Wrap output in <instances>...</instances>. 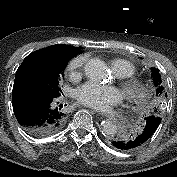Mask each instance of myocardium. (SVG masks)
Wrapping results in <instances>:
<instances>
[{"mask_svg":"<svg viewBox=\"0 0 177 177\" xmlns=\"http://www.w3.org/2000/svg\"><path fill=\"white\" fill-rule=\"evenodd\" d=\"M121 86L130 102H141L148 95V89L145 83L138 77H130L122 80Z\"/></svg>","mask_w":177,"mask_h":177,"instance_id":"obj_1","label":"myocardium"}]
</instances>
